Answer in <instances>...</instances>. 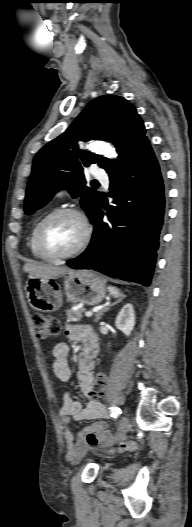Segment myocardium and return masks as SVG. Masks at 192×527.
<instances>
[{"label":"myocardium","mask_w":192,"mask_h":527,"mask_svg":"<svg viewBox=\"0 0 192 527\" xmlns=\"http://www.w3.org/2000/svg\"><path fill=\"white\" fill-rule=\"evenodd\" d=\"M62 215L76 216L82 224L83 233H82L80 242L73 250H71L68 253H64V254H54L46 248L45 243H44V234L48 226L51 224V222ZM91 235H92V227H91L88 217L83 211L75 207H61V208H57L53 210L52 212H50L43 219V221L39 224L37 231H36L35 244H36L38 253L43 259L48 260V261L57 262V261H62V260L73 258L77 256L78 254H80L87 247L91 239Z\"/></svg>","instance_id":"f54148a6"}]
</instances>
